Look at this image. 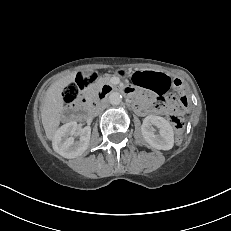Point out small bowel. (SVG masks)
<instances>
[{
  "label": "small bowel",
  "instance_id": "obj_1",
  "mask_svg": "<svg viewBox=\"0 0 231 231\" xmlns=\"http://www.w3.org/2000/svg\"><path fill=\"white\" fill-rule=\"evenodd\" d=\"M137 74H139L143 79L141 85L138 86H142L155 94H163L168 90H170L171 88H180V83L177 82L178 80L172 78L171 76L165 73L145 70V71H140ZM133 82L136 84L135 78H133ZM128 90L131 93L135 92V90L132 88H128ZM148 102L151 103V99H148ZM168 109L172 112L182 111L180 107H176L174 106V104H171L168 107ZM137 110L139 113L147 112L143 105L138 106ZM153 111L155 113H164L167 110L161 108V109H154Z\"/></svg>",
  "mask_w": 231,
  "mask_h": 231
}]
</instances>
